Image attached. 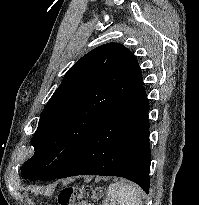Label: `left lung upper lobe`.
<instances>
[{"label": "left lung upper lobe", "instance_id": "obj_1", "mask_svg": "<svg viewBox=\"0 0 199 205\" xmlns=\"http://www.w3.org/2000/svg\"><path fill=\"white\" fill-rule=\"evenodd\" d=\"M140 67L120 43L99 46L65 74L40 115L34 155L21 167L31 180H52L75 160L99 122L134 85Z\"/></svg>", "mask_w": 199, "mask_h": 205}]
</instances>
